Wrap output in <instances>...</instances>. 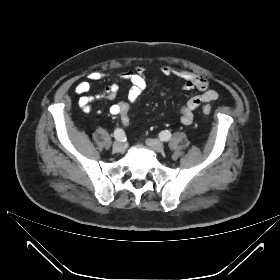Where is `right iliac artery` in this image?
Listing matches in <instances>:
<instances>
[{
    "label": "right iliac artery",
    "instance_id": "1",
    "mask_svg": "<svg viewBox=\"0 0 280 280\" xmlns=\"http://www.w3.org/2000/svg\"><path fill=\"white\" fill-rule=\"evenodd\" d=\"M114 137L116 140L118 141H125L126 140V134L124 132L123 129L121 128H117L115 131H114Z\"/></svg>",
    "mask_w": 280,
    "mask_h": 280
}]
</instances>
